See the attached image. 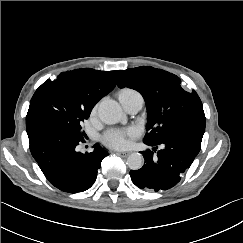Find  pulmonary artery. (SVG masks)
Returning a JSON list of instances; mask_svg holds the SVG:
<instances>
[{
  "mask_svg": "<svg viewBox=\"0 0 243 243\" xmlns=\"http://www.w3.org/2000/svg\"><path fill=\"white\" fill-rule=\"evenodd\" d=\"M143 105V101L141 99H134L127 102L123 107L130 114L137 113Z\"/></svg>",
  "mask_w": 243,
  "mask_h": 243,
  "instance_id": "1",
  "label": "pulmonary artery"
}]
</instances>
